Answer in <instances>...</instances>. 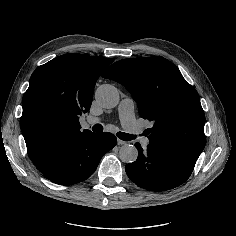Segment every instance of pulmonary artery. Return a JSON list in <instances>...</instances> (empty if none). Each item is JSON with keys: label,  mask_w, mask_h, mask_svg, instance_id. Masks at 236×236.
<instances>
[{"label": "pulmonary artery", "mask_w": 236, "mask_h": 236, "mask_svg": "<svg viewBox=\"0 0 236 236\" xmlns=\"http://www.w3.org/2000/svg\"><path fill=\"white\" fill-rule=\"evenodd\" d=\"M134 100L132 98H125L123 99L119 106H118V113H119V118L121 121V124L123 125V127L128 128V129H132L135 126V119L133 114H129L128 113V108H130V110L134 109ZM150 141L147 137H144L141 139V144L144 148H146L149 145Z\"/></svg>", "instance_id": "obj_1"}]
</instances>
